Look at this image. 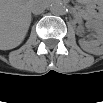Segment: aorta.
<instances>
[{
  "mask_svg": "<svg viewBox=\"0 0 103 103\" xmlns=\"http://www.w3.org/2000/svg\"><path fill=\"white\" fill-rule=\"evenodd\" d=\"M65 6L62 2L60 1H54L51 5H50V11L51 13L55 14V15H62L65 13Z\"/></svg>",
  "mask_w": 103,
  "mask_h": 103,
  "instance_id": "aorta-1",
  "label": "aorta"
}]
</instances>
